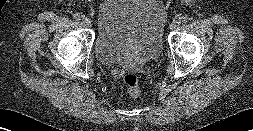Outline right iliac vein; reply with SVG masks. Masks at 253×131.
I'll list each match as a JSON object with an SVG mask.
<instances>
[{
    "instance_id": "1",
    "label": "right iliac vein",
    "mask_w": 253,
    "mask_h": 131,
    "mask_svg": "<svg viewBox=\"0 0 253 131\" xmlns=\"http://www.w3.org/2000/svg\"><path fill=\"white\" fill-rule=\"evenodd\" d=\"M83 22H84V24H85L86 26H88V27H92V25H93L92 20H91L90 18H88V17H85V18L83 19Z\"/></svg>"
}]
</instances>
